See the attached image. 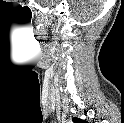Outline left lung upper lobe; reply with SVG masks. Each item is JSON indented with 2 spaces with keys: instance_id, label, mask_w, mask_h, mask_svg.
Listing matches in <instances>:
<instances>
[{
  "instance_id": "5c2ea615",
  "label": "left lung upper lobe",
  "mask_w": 124,
  "mask_h": 123,
  "mask_svg": "<svg viewBox=\"0 0 124 123\" xmlns=\"http://www.w3.org/2000/svg\"><path fill=\"white\" fill-rule=\"evenodd\" d=\"M72 121H73L74 123H87V121H85V120H80V119H78V118H73Z\"/></svg>"
}]
</instances>
